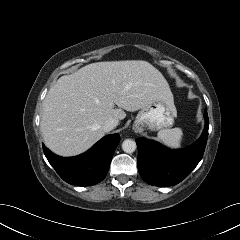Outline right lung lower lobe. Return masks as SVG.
Segmentation results:
<instances>
[{
    "label": "right lung lower lobe",
    "instance_id": "right-lung-lower-lobe-1",
    "mask_svg": "<svg viewBox=\"0 0 240 240\" xmlns=\"http://www.w3.org/2000/svg\"><path fill=\"white\" fill-rule=\"evenodd\" d=\"M119 142V134L107 135L84 154L69 158L57 156L44 144L42 146L47 160L64 181L77 186H91L105 178Z\"/></svg>",
    "mask_w": 240,
    "mask_h": 240
}]
</instances>
